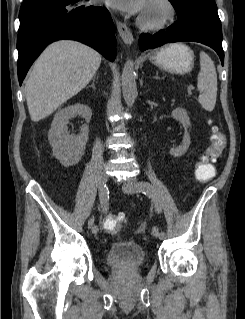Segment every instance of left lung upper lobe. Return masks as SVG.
Here are the masks:
<instances>
[{"label": "left lung upper lobe", "instance_id": "5c2ea615", "mask_svg": "<svg viewBox=\"0 0 245 319\" xmlns=\"http://www.w3.org/2000/svg\"><path fill=\"white\" fill-rule=\"evenodd\" d=\"M176 10L178 17L188 14H201L220 21L214 0H169Z\"/></svg>", "mask_w": 245, "mask_h": 319}]
</instances>
